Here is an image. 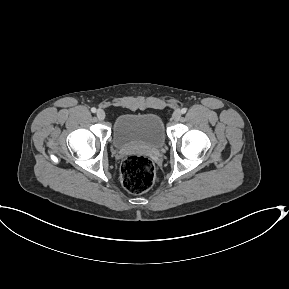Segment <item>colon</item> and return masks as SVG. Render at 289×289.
<instances>
[{
    "label": "colon",
    "instance_id": "5ec220e1",
    "mask_svg": "<svg viewBox=\"0 0 289 289\" xmlns=\"http://www.w3.org/2000/svg\"><path fill=\"white\" fill-rule=\"evenodd\" d=\"M154 166L150 159L143 155L128 156L121 166V181L131 193H143L153 184Z\"/></svg>",
    "mask_w": 289,
    "mask_h": 289
}]
</instances>
